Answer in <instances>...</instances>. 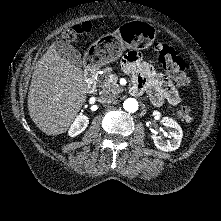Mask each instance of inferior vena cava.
<instances>
[{
    "instance_id": "obj_1",
    "label": "inferior vena cava",
    "mask_w": 221,
    "mask_h": 221,
    "mask_svg": "<svg viewBox=\"0 0 221 221\" xmlns=\"http://www.w3.org/2000/svg\"><path fill=\"white\" fill-rule=\"evenodd\" d=\"M116 96L114 94H111L109 92H104L101 96H100V102L102 103H107V104H111V103H116Z\"/></svg>"
}]
</instances>
